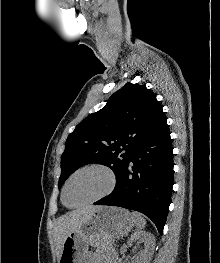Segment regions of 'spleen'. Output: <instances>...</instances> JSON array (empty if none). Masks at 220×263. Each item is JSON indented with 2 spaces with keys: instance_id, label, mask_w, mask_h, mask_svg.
<instances>
[{
  "instance_id": "3e777b00",
  "label": "spleen",
  "mask_w": 220,
  "mask_h": 263,
  "mask_svg": "<svg viewBox=\"0 0 220 263\" xmlns=\"http://www.w3.org/2000/svg\"><path fill=\"white\" fill-rule=\"evenodd\" d=\"M134 222H135V226L137 229H143L146 225V220L139 214L136 212L132 213Z\"/></svg>"
}]
</instances>
